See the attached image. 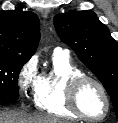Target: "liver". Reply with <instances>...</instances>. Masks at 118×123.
I'll return each mask as SVG.
<instances>
[{"label": "liver", "instance_id": "liver-1", "mask_svg": "<svg viewBox=\"0 0 118 123\" xmlns=\"http://www.w3.org/2000/svg\"><path fill=\"white\" fill-rule=\"evenodd\" d=\"M0 123H66L65 121L42 114H26L15 111H0Z\"/></svg>", "mask_w": 118, "mask_h": 123}]
</instances>
